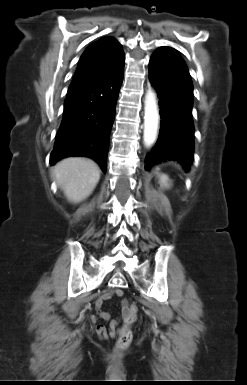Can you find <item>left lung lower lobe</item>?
I'll list each match as a JSON object with an SVG mask.
<instances>
[{
  "mask_svg": "<svg viewBox=\"0 0 247 385\" xmlns=\"http://www.w3.org/2000/svg\"><path fill=\"white\" fill-rule=\"evenodd\" d=\"M149 79L158 93L161 121L159 138L145 158V169L167 159L189 166L194 148L193 85L177 50L164 46L153 53Z\"/></svg>",
  "mask_w": 247,
  "mask_h": 385,
  "instance_id": "1",
  "label": "left lung lower lobe"
}]
</instances>
